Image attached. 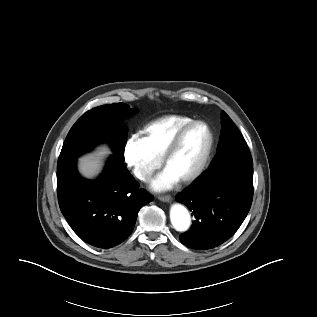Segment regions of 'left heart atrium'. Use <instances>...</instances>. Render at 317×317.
<instances>
[{
    "label": "left heart atrium",
    "instance_id": "1",
    "mask_svg": "<svg viewBox=\"0 0 317 317\" xmlns=\"http://www.w3.org/2000/svg\"><path fill=\"white\" fill-rule=\"evenodd\" d=\"M179 178L168 168H166L157 178L153 181L152 187L156 191H163L171 188Z\"/></svg>",
    "mask_w": 317,
    "mask_h": 317
}]
</instances>
